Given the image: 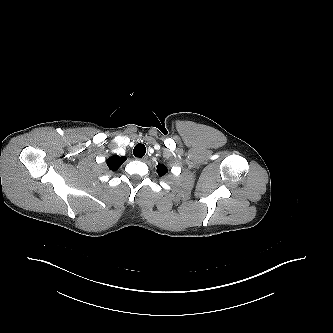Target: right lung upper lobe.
<instances>
[{
    "label": "right lung upper lobe",
    "mask_w": 333,
    "mask_h": 333,
    "mask_svg": "<svg viewBox=\"0 0 333 333\" xmlns=\"http://www.w3.org/2000/svg\"><path fill=\"white\" fill-rule=\"evenodd\" d=\"M125 160H126L125 156L120 157L114 155L107 160V166L110 170L116 171L123 164Z\"/></svg>",
    "instance_id": "cb5924a9"
}]
</instances>
